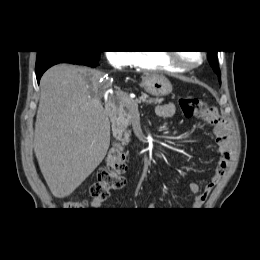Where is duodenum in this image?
I'll return each mask as SVG.
<instances>
[{
  "instance_id": "duodenum-1",
  "label": "duodenum",
  "mask_w": 260,
  "mask_h": 260,
  "mask_svg": "<svg viewBox=\"0 0 260 260\" xmlns=\"http://www.w3.org/2000/svg\"><path fill=\"white\" fill-rule=\"evenodd\" d=\"M106 112L110 118H114L116 116V109L112 104L106 105ZM116 150H119L118 146H116Z\"/></svg>"
}]
</instances>
